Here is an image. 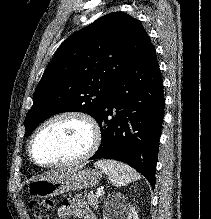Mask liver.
<instances>
[{
  "instance_id": "6515ba94",
  "label": "liver",
  "mask_w": 211,
  "mask_h": 219,
  "mask_svg": "<svg viewBox=\"0 0 211 219\" xmlns=\"http://www.w3.org/2000/svg\"><path fill=\"white\" fill-rule=\"evenodd\" d=\"M58 172H53V173H51V175H53V174H57Z\"/></svg>"
}]
</instances>
